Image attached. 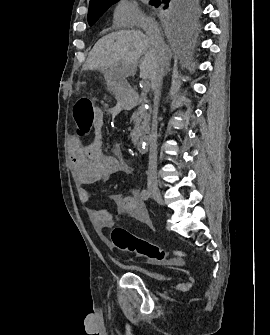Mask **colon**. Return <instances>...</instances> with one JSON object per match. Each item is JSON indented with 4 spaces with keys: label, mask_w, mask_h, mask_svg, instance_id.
<instances>
[{
    "label": "colon",
    "mask_w": 270,
    "mask_h": 335,
    "mask_svg": "<svg viewBox=\"0 0 270 335\" xmlns=\"http://www.w3.org/2000/svg\"><path fill=\"white\" fill-rule=\"evenodd\" d=\"M80 110H74L77 134L87 136L93 128L94 105L89 99H80L76 105ZM111 240L115 247L123 252L134 253L140 257L156 263H170L181 265L185 260L183 250H170L143 239L126 228H114L111 231Z\"/></svg>",
    "instance_id": "obj_1"
}]
</instances>
